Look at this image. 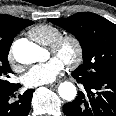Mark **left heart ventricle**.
<instances>
[{
  "instance_id": "obj_1",
  "label": "left heart ventricle",
  "mask_w": 116,
  "mask_h": 116,
  "mask_svg": "<svg viewBox=\"0 0 116 116\" xmlns=\"http://www.w3.org/2000/svg\"><path fill=\"white\" fill-rule=\"evenodd\" d=\"M71 54H72V48L71 46H67L64 52L61 54H58L57 56L61 57L65 61V58Z\"/></svg>"
}]
</instances>
